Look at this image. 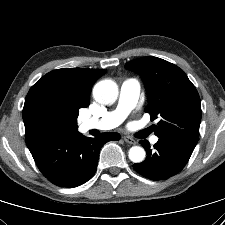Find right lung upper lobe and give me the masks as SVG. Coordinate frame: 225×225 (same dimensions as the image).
<instances>
[{
    "label": "right lung upper lobe",
    "instance_id": "right-lung-upper-lobe-1",
    "mask_svg": "<svg viewBox=\"0 0 225 225\" xmlns=\"http://www.w3.org/2000/svg\"><path fill=\"white\" fill-rule=\"evenodd\" d=\"M105 73L103 69L62 68L40 78L29 90L22 111L26 141L52 131L47 121L50 109L87 107L91 87Z\"/></svg>",
    "mask_w": 225,
    "mask_h": 225
}]
</instances>
